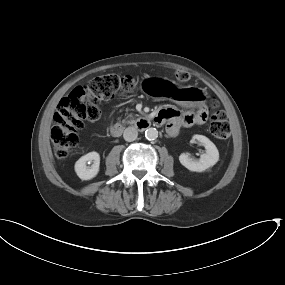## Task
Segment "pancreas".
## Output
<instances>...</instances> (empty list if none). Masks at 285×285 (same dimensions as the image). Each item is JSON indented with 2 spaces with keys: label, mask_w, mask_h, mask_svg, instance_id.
Segmentation results:
<instances>
[{
  "label": "pancreas",
  "mask_w": 285,
  "mask_h": 285,
  "mask_svg": "<svg viewBox=\"0 0 285 285\" xmlns=\"http://www.w3.org/2000/svg\"><path fill=\"white\" fill-rule=\"evenodd\" d=\"M132 117H133L132 114H130L126 117V119H129L128 120L129 123H135L136 122Z\"/></svg>",
  "instance_id": "pancreas-1"
}]
</instances>
